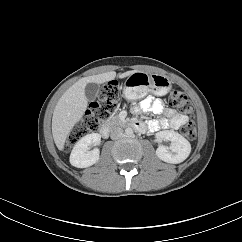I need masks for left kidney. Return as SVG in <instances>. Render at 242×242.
Masks as SVG:
<instances>
[{
  "instance_id": "5707ae66",
  "label": "left kidney",
  "mask_w": 242,
  "mask_h": 242,
  "mask_svg": "<svg viewBox=\"0 0 242 242\" xmlns=\"http://www.w3.org/2000/svg\"><path fill=\"white\" fill-rule=\"evenodd\" d=\"M156 141L161 143L162 141H170L169 147L159 145L156 150V155L159 159L167 163H181L183 162L191 152V145L189 141L184 138L178 132L173 130H164L156 134Z\"/></svg>"
}]
</instances>
